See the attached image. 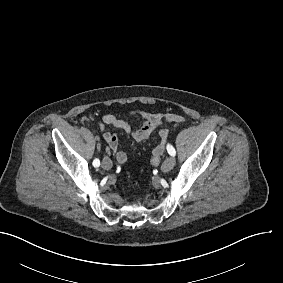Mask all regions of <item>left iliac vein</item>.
Segmentation results:
<instances>
[{
  "label": "left iliac vein",
  "instance_id": "obj_1",
  "mask_svg": "<svg viewBox=\"0 0 283 283\" xmlns=\"http://www.w3.org/2000/svg\"><path fill=\"white\" fill-rule=\"evenodd\" d=\"M175 162H176L175 157L173 156L168 157L161 166L162 171L164 172L170 171L174 167Z\"/></svg>",
  "mask_w": 283,
  "mask_h": 283
}]
</instances>
